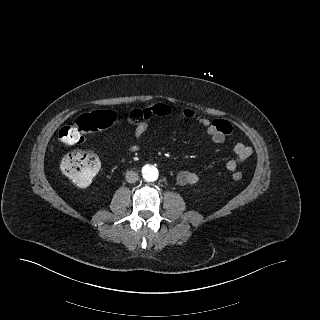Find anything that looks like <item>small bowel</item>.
<instances>
[{"label": "small bowel", "mask_w": 320, "mask_h": 320, "mask_svg": "<svg viewBox=\"0 0 320 320\" xmlns=\"http://www.w3.org/2000/svg\"><path fill=\"white\" fill-rule=\"evenodd\" d=\"M175 113V109L165 103H157L146 108H138L132 110L126 116V122L134 125V140L128 150L135 153L139 150V142L146 133L149 123L153 117H168ZM183 118L187 120H195L206 128L211 140L214 143L220 144L226 140V137L231 134L232 127L228 121L225 120H210L194 110L186 108L181 112ZM235 158L229 160L226 167L229 171H235L240 164L245 162L252 154V148L241 142L234 146ZM177 181L183 186H192L199 182V176L195 172L182 170L177 174Z\"/></svg>", "instance_id": "1"}]
</instances>
